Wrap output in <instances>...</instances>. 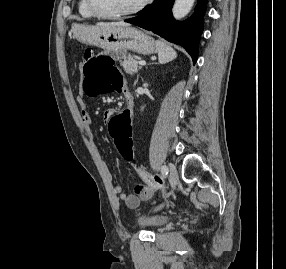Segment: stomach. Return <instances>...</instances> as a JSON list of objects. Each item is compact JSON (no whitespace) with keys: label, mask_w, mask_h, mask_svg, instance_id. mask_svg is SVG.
I'll return each instance as SVG.
<instances>
[{"label":"stomach","mask_w":286,"mask_h":269,"mask_svg":"<svg viewBox=\"0 0 286 269\" xmlns=\"http://www.w3.org/2000/svg\"><path fill=\"white\" fill-rule=\"evenodd\" d=\"M73 37L79 42L102 49H130L149 55L157 51L154 39L135 27L72 25Z\"/></svg>","instance_id":"1"}]
</instances>
